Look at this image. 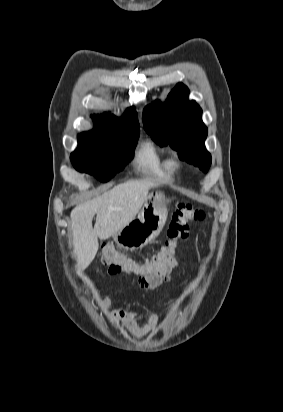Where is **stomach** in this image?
<instances>
[{
	"mask_svg": "<svg viewBox=\"0 0 283 412\" xmlns=\"http://www.w3.org/2000/svg\"><path fill=\"white\" fill-rule=\"evenodd\" d=\"M168 200L160 193H151L137 219L131 221L113 236L120 248L134 250L143 248L162 231L168 216Z\"/></svg>",
	"mask_w": 283,
	"mask_h": 412,
	"instance_id": "stomach-1",
	"label": "stomach"
}]
</instances>
